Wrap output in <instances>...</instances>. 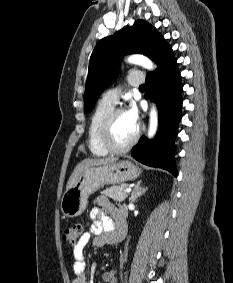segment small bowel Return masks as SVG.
Returning <instances> with one entry per match:
<instances>
[{"label": "small bowel", "instance_id": "c3829d8e", "mask_svg": "<svg viewBox=\"0 0 233 283\" xmlns=\"http://www.w3.org/2000/svg\"><path fill=\"white\" fill-rule=\"evenodd\" d=\"M95 206L90 211L92 225L83 233L78 242L73 247V283H93V280L87 281L85 274L87 263L85 259V249L90 244L94 248L103 246H113V234L117 224L125 221L124 212L110 203L105 197L95 199ZM92 273L95 267H92ZM105 283H117L115 271H107L103 274Z\"/></svg>", "mask_w": 233, "mask_h": 283}]
</instances>
